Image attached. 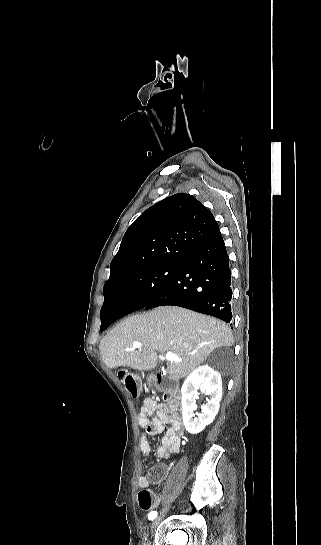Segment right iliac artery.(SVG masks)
I'll use <instances>...</instances> for the list:
<instances>
[{"label": "right iliac artery", "instance_id": "1", "mask_svg": "<svg viewBox=\"0 0 321 545\" xmlns=\"http://www.w3.org/2000/svg\"><path fill=\"white\" fill-rule=\"evenodd\" d=\"M156 516H157V512H156V511H152V512L149 513L148 519H149V520H153V519L156 518Z\"/></svg>", "mask_w": 321, "mask_h": 545}]
</instances>
